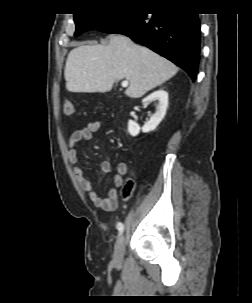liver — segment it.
<instances>
[{
    "label": "liver",
    "mask_w": 252,
    "mask_h": 303,
    "mask_svg": "<svg viewBox=\"0 0 252 303\" xmlns=\"http://www.w3.org/2000/svg\"><path fill=\"white\" fill-rule=\"evenodd\" d=\"M106 45H81L70 51L65 65L70 92H108L122 79L130 85L125 94L140 98L173 77L178 68L126 36L110 35Z\"/></svg>",
    "instance_id": "liver-1"
}]
</instances>
